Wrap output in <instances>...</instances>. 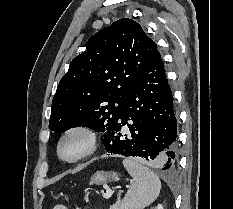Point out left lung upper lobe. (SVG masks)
<instances>
[{"mask_svg": "<svg viewBox=\"0 0 233 209\" xmlns=\"http://www.w3.org/2000/svg\"><path fill=\"white\" fill-rule=\"evenodd\" d=\"M76 56L52 100L49 128L105 132L123 113L134 82L157 52L139 23L121 18L94 34Z\"/></svg>", "mask_w": 233, "mask_h": 209, "instance_id": "1", "label": "left lung upper lobe"}]
</instances>
